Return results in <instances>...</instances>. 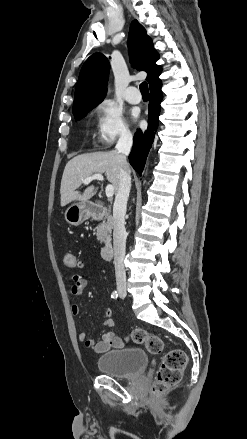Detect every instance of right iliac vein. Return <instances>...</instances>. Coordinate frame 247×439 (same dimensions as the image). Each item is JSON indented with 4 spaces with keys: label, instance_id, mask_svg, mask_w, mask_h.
Here are the masks:
<instances>
[{
    "label": "right iliac vein",
    "instance_id": "obj_1",
    "mask_svg": "<svg viewBox=\"0 0 247 439\" xmlns=\"http://www.w3.org/2000/svg\"><path fill=\"white\" fill-rule=\"evenodd\" d=\"M119 293H120L121 295H125V294H126V290H125L124 288H120V289H119Z\"/></svg>",
    "mask_w": 247,
    "mask_h": 439
}]
</instances>
